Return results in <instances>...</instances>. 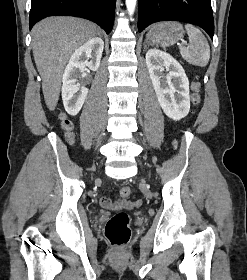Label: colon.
<instances>
[{
	"label": "colon",
	"mask_w": 247,
	"mask_h": 280,
	"mask_svg": "<svg viewBox=\"0 0 247 280\" xmlns=\"http://www.w3.org/2000/svg\"><path fill=\"white\" fill-rule=\"evenodd\" d=\"M193 89V102L198 104L200 102V84L195 81L192 84ZM62 128L69 133L71 130V122L63 117ZM132 194L131 188L123 186L119 190V196L122 199L129 198ZM105 237L108 242L114 247L125 246L131 238L130 218L126 212L120 211L114 214L105 226Z\"/></svg>",
	"instance_id": "colon-1"
}]
</instances>
